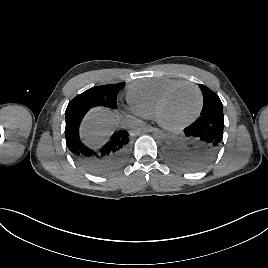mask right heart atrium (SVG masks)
I'll return each instance as SVG.
<instances>
[{
	"label": "right heart atrium",
	"instance_id": "right-heart-atrium-1",
	"mask_svg": "<svg viewBox=\"0 0 268 268\" xmlns=\"http://www.w3.org/2000/svg\"><path fill=\"white\" fill-rule=\"evenodd\" d=\"M127 113L131 116L137 117V118H146V116L141 113L140 111L134 109L133 107L128 108Z\"/></svg>",
	"mask_w": 268,
	"mask_h": 268
}]
</instances>
